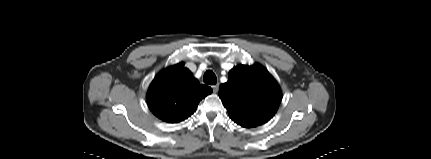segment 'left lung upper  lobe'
Wrapping results in <instances>:
<instances>
[{
    "instance_id": "5c2ea615",
    "label": "left lung upper lobe",
    "mask_w": 431,
    "mask_h": 159,
    "mask_svg": "<svg viewBox=\"0 0 431 159\" xmlns=\"http://www.w3.org/2000/svg\"><path fill=\"white\" fill-rule=\"evenodd\" d=\"M228 76L229 81L220 85L219 96L230 118L248 128L269 121L282 99L272 75L262 65L254 64L236 66Z\"/></svg>"
}]
</instances>
